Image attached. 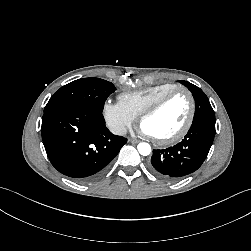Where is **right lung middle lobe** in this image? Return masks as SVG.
<instances>
[{
	"label": "right lung middle lobe",
	"mask_w": 251,
	"mask_h": 251,
	"mask_svg": "<svg viewBox=\"0 0 251 251\" xmlns=\"http://www.w3.org/2000/svg\"><path fill=\"white\" fill-rule=\"evenodd\" d=\"M115 90L111 82L100 78L78 79L52 95L44 111L57 107H80L102 112L107 97Z\"/></svg>",
	"instance_id": "1"
}]
</instances>
